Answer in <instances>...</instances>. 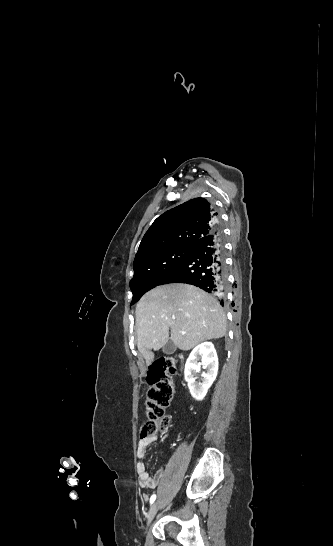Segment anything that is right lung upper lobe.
I'll return each mask as SVG.
<instances>
[{
	"label": "right lung upper lobe",
	"mask_w": 333,
	"mask_h": 546,
	"mask_svg": "<svg viewBox=\"0 0 333 546\" xmlns=\"http://www.w3.org/2000/svg\"><path fill=\"white\" fill-rule=\"evenodd\" d=\"M217 226L213 205L204 198L191 199L153 222L140 243L134 265L170 248L193 247Z\"/></svg>",
	"instance_id": "1"
}]
</instances>
